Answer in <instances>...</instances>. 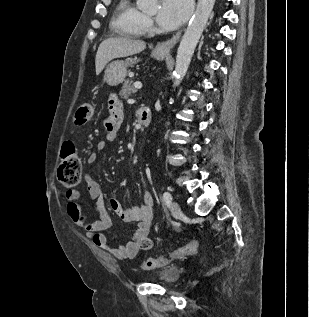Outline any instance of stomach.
<instances>
[{"label":"stomach","instance_id":"stomach-1","mask_svg":"<svg viewBox=\"0 0 309 317\" xmlns=\"http://www.w3.org/2000/svg\"><path fill=\"white\" fill-rule=\"evenodd\" d=\"M152 57L157 59H163L166 56V53L160 52L157 49H154L151 54ZM139 60L135 58H129L125 61L116 60L108 64L105 70L104 82L110 86H117L122 83L127 76L128 67L133 66Z\"/></svg>","mask_w":309,"mask_h":317}]
</instances>
